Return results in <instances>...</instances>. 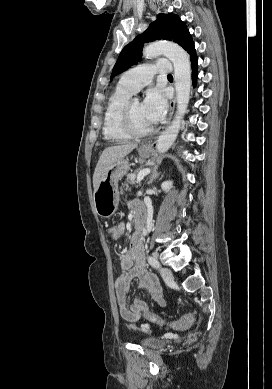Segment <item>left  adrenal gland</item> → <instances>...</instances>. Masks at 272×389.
I'll return each mask as SVG.
<instances>
[{"label": "left adrenal gland", "mask_w": 272, "mask_h": 389, "mask_svg": "<svg viewBox=\"0 0 272 389\" xmlns=\"http://www.w3.org/2000/svg\"><path fill=\"white\" fill-rule=\"evenodd\" d=\"M157 169L158 167L153 168L148 184H151L154 181V179L158 178L160 175L163 176L160 172L157 171Z\"/></svg>", "instance_id": "1"}]
</instances>
